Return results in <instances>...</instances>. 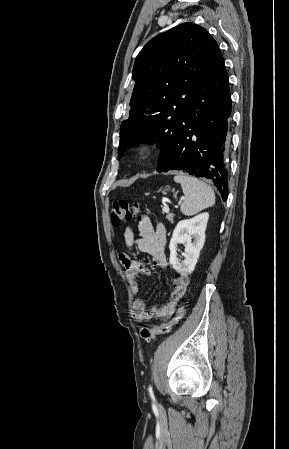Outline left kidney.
I'll return each mask as SVG.
<instances>
[{
  "label": "left kidney",
  "instance_id": "left-kidney-1",
  "mask_svg": "<svg viewBox=\"0 0 289 449\" xmlns=\"http://www.w3.org/2000/svg\"><path fill=\"white\" fill-rule=\"evenodd\" d=\"M208 219L209 214L204 212L193 218L179 221L175 227L169 244V262L178 273L189 274L194 271L200 251L205 243V231ZM178 244L185 246V252L182 253L184 257L182 262L177 258Z\"/></svg>",
  "mask_w": 289,
  "mask_h": 449
}]
</instances>
